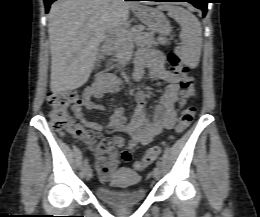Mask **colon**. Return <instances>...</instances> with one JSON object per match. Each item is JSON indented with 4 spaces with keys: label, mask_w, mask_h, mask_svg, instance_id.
Segmentation results:
<instances>
[{
    "label": "colon",
    "mask_w": 260,
    "mask_h": 217,
    "mask_svg": "<svg viewBox=\"0 0 260 217\" xmlns=\"http://www.w3.org/2000/svg\"><path fill=\"white\" fill-rule=\"evenodd\" d=\"M168 63L170 69L182 77L181 87L183 89V96L190 98L193 96L192 87L194 86V79L188 75V66L182 59L171 53L168 56ZM87 99V94L81 91H66L53 92L48 96V104L50 106V124L51 127L58 133L81 139L87 143L91 150L97 156V170L105 177L110 176L111 170L109 168V155L114 153V142L109 138H104L101 133L92 129L83 128L77 121H75L69 113V109L77 105H82ZM195 107L191 106L185 109L174 132L176 134L182 133L187 129L194 120ZM163 146H154L150 148L145 155L136 162L135 167L139 170L155 161L162 153ZM132 150L126 149L121 152L122 158L130 159Z\"/></svg>",
    "instance_id": "1"
}]
</instances>
